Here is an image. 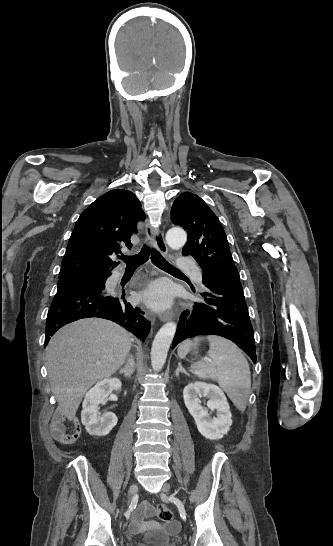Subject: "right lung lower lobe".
Here are the masks:
<instances>
[{"instance_id": "98d812e1", "label": "right lung lower lobe", "mask_w": 333, "mask_h": 546, "mask_svg": "<svg viewBox=\"0 0 333 546\" xmlns=\"http://www.w3.org/2000/svg\"><path fill=\"white\" fill-rule=\"evenodd\" d=\"M99 317L118 323L145 341L151 323L144 312L125 300V293L108 295L104 289L82 288L59 292L50 306L46 321L45 346L59 328L78 319Z\"/></svg>"}]
</instances>
